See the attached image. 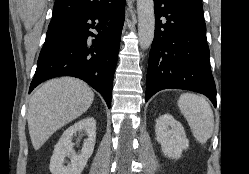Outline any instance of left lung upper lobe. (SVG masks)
Segmentation results:
<instances>
[{"label": "left lung upper lobe", "mask_w": 249, "mask_h": 174, "mask_svg": "<svg viewBox=\"0 0 249 174\" xmlns=\"http://www.w3.org/2000/svg\"><path fill=\"white\" fill-rule=\"evenodd\" d=\"M187 12L204 19L203 6L201 0H173Z\"/></svg>", "instance_id": "obj_1"}]
</instances>
